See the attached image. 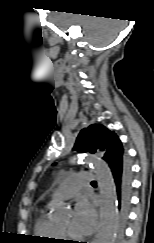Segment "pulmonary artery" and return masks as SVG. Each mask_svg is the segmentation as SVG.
<instances>
[{
	"label": "pulmonary artery",
	"instance_id": "1",
	"mask_svg": "<svg viewBox=\"0 0 154 243\" xmlns=\"http://www.w3.org/2000/svg\"><path fill=\"white\" fill-rule=\"evenodd\" d=\"M95 178L94 173L81 171L74 173L58 186L61 197L69 199L74 197L80 189Z\"/></svg>",
	"mask_w": 154,
	"mask_h": 243
}]
</instances>
